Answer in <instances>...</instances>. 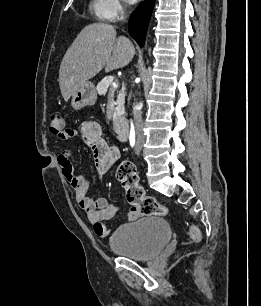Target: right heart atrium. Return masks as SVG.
I'll list each match as a JSON object with an SVG mask.
<instances>
[{
    "label": "right heart atrium",
    "instance_id": "d8ad5b80",
    "mask_svg": "<svg viewBox=\"0 0 261 306\" xmlns=\"http://www.w3.org/2000/svg\"><path fill=\"white\" fill-rule=\"evenodd\" d=\"M101 17L105 20H116L125 9L123 0H101Z\"/></svg>",
    "mask_w": 261,
    "mask_h": 306
}]
</instances>
